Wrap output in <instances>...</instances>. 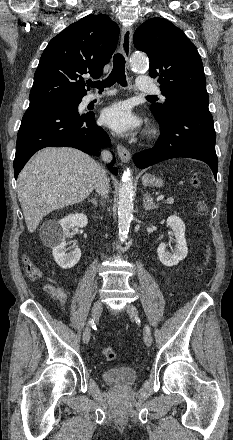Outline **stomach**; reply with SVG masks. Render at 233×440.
Segmentation results:
<instances>
[{
	"mask_svg": "<svg viewBox=\"0 0 233 440\" xmlns=\"http://www.w3.org/2000/svg\"><path fill=\"white\" fill-rule=\"evenodd\" d=\"M142 183L145 186H156L161 187L163 185V181L160 178H157L150 174H145L142 177Z\"/></svg>",
	"mask_w": 233,
	"mask_h": 440,
	"instance_id": "obj_1",
	"label": "stomach"
}]
</instances>
